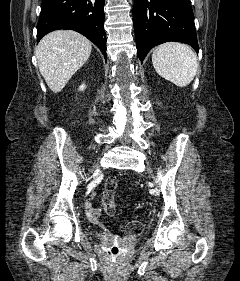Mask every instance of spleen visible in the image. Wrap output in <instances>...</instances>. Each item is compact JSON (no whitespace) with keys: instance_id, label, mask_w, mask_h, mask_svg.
Returning <instances> with one entry per match:
<instances>
[{"instance_id":"3e777b00","label":"spleen","mask_w":240,"mask_h":281,"mask_svg":"<svg viewBox=\"0 0 240 281\" xmlns=\"http://www.w3.org/2000/svg\"><path fill=\"white\" fill-rule=\"evenodd\" d=\"M152 64L156 72L178 87H186L194 79L197 55L185 44L167 42L153 50Z\"/></svg>"}]
</instances>
